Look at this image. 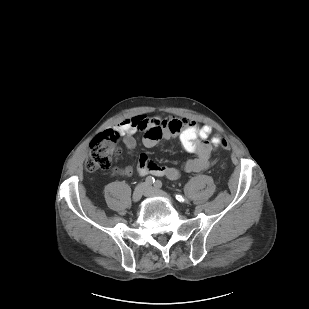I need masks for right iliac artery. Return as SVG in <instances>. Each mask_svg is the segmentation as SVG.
I'll return each instance as SVG.
<instances>
[{
    "mask_svg": "<svg viewBox=\"0 0 309 309\" xmlns=\"http://www.w3.org/2000/svg\"><path fill=\"white\" fill-rule=\"evenodd\" d=\"M146 184L151 185L155 182V179L151 176H148L145 180Z\"/></svg>",
    "mask_w": 309,
    "mask_h": 309,
    "instance_id": "1",
    "label": "right iliac artery"
}]
</instances>
